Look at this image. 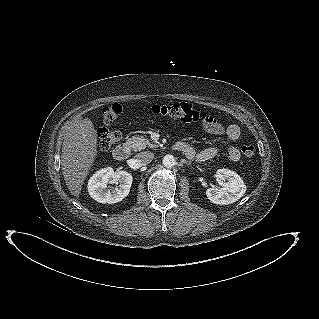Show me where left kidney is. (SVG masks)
Segmentation results:
<instances>
[{"instance_id":"left-kidney-1","label":"left kidney","mask_w":319,"mask_h":319,"mask_svg":"<svg viewBox=\"0 0 319 319\" xmlns=\"http://www.w3.org/2000/svg\"><path fill=\"white\" fill-rule=\"evenodd\" d=\"M216 176L220 187L209 188L206 191L208 199L220 205H228L239 200L246 192V185L241 177L229 169H218Z\"/></svg>"}]
</instances>
